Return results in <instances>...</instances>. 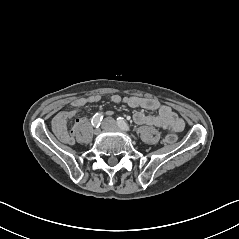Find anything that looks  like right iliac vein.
I'll list each match as a JSON object with an SVG mask.
<instances>
[{"label": "right iliac vein", "mask_w": 239, "mask_h": 239, "mask_svg": "<svg viewBox=\"0 0 239 239\" xmlns=\"http://www.w3.org/2000/svg\"><path fill=\"white\" fill-rule=\"evenodd\" d=\"M102 129L103 130H107V129H109L110 128V124L108 123V122H106V121H104L103 123H102ZM96 133H98V130L96 131Z\"/></svg>", "instance_id": "right-iliac-vein-1"}]
</instances>
